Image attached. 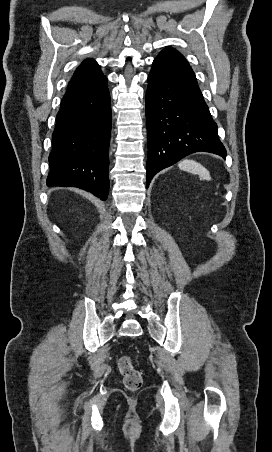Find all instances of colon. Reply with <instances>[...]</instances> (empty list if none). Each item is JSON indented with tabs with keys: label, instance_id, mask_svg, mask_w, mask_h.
<instances>
[{
	"label": "colon",
	"instance_id": "1",
	"mask_svg": "<svg viewBox=\"0 0 272 452\" xmlns=\"http://www.w3.org/2000/svg\"><path fill=\"white\" fill-rule=\"evenodd\" d=\"M117 367L123 377V382L127 390L135 392L141 388L143 377L141 372L135 368L132 357H119Z\"/></svg>",
	"mask_w": 272,
	"mask_h": 452
}]
</instances>
